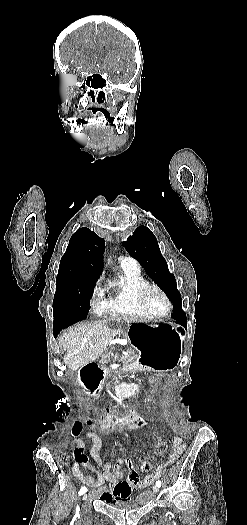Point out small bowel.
Wrapping results in <instances>:
<instances>
[{"instance_id": "obj_1", "label": "small bowel", "mask_w": 247, "mask_h": 525, "mask_svg": "<svg viewBox=\"0 0 247 525\" xmlns=\"http://www.w3.org/2000/svg\"><path fill=\"white\" fill-rule=\"evenodd\" d=\"M87 437L93 442L90 456L85 453V444L81 440L75 441V463L72 470L81 482L97 490L107 506H126L127 497L131 496L136 486L143 487L153 484L169 465L178 460L185 449L184 442L179 438L176 439L175 447L170 453L167 462L160 465L153 474L140 480L137 472L132 468L131 462L128 460L117 458L103 462L99 453L101 448L99 436L96 433L88 432ZM90 459L96 463V466L89 464ZM81 465L87 467L96 476L93 477L84 473L80 468ZM123 466L129 468L126 481H123ZM106 484L109 485L110 489H108Z\"/></svg>"}]
</instances>
